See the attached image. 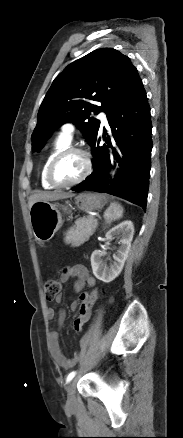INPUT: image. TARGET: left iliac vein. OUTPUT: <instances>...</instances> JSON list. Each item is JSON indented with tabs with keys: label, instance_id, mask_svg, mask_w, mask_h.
Segmentation results:
<instances>
[{
	"label": "left iliac vein",
	"instance_id": "4c4485c4",
	"mask_svg": "<svg viewBox=\"0 0 183 438\" xmlns=\"http://www.w3.org/2000/svg\"><path fill=\"white\" fill-rule=\"evenodd\" d=\"M75 385H76V380L74 379L67 386V401H66V405H67L68 408H73L76 405Z\"/></svg>",
	"mask_w": 183,
	"mask_h": 438
}]
</instances>
